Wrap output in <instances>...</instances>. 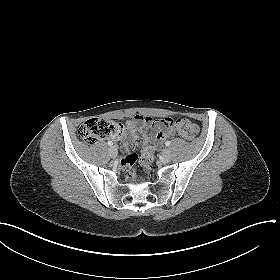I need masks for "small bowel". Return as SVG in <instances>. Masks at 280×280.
<instances>
[{"mask_svg": "<svg viewBox=\"0 0 280 280\" xmlns=\"http://www.w3.org/2000/svg\"><path fill=\"white\" fill-rule=\"evenodd\" d=\"M151 129L157 130L153 138L149 134ZM139 134L143 135L146 147H151L154 150L160 147L165 139L173 136L175 132L171 128L169 118L155 120L149 116L137 114L126 122V132H121L113 138L123 141V148L128 149L131 143L139 137Z\"/></svg>", "mask_w": 280, "mask_h": 280, "instance_id": "c3829d8e", "label": "small bowel"}]
</instances>
